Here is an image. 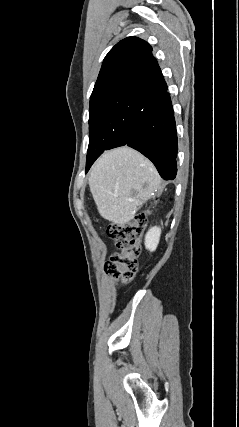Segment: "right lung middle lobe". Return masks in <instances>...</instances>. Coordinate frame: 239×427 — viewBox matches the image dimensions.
<instances>
[{"instance_id": "obj_1", "label": "right lung middle lobe", "mask_w": 239, "mask_h": 427, "mask_svg": "<svg viewBox=\"0 0 239 427\" xmlns=\"http://www.w3.org/2000/svg\"><path fill=\"white\" fill-rule=\"evenodd\" d=\"M144 104L145 98L126 96L90 105L86 172L104 150L119 147L126 141L133 119Z\"/></svg>"}]
</instances>
